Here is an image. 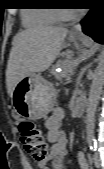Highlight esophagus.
Returning <instances> with one entry per match:
<instances>
[{"instance_id": "esophagus-1", "label": "esophagus", "mask_w": 104, "mask_h": 169, "mask_svg": "<svg viewBox=\"0 0 104 169\" xmlns=\"http://www.w3.org/2000/svg\"><path fill=\"white\" fill-rule=\"evenodd\" d=\"M80 33H81V26H80V24L79 23L75 24L73 26V28L71 29L70 34L73 35V36H78V35H80Z\"/></svg>"}]
</instances>
